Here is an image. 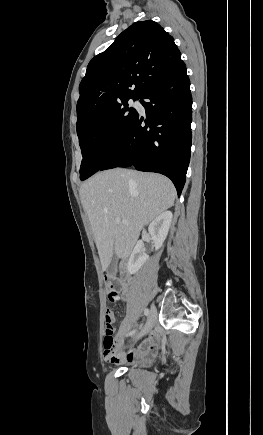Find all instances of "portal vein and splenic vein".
Returning <instances> with one entry per match:
<instances>
[{
    "label": "portal vein and splenic vein",
    "instance_id": "18ae733b",
    "mask_svg": "<svg viewBox=\"0 0 263 435\" xmlns=\"http://www.w3.org/2000/svg\"><path fill=\"white\" fill-rule=\"evenodd\" d=\"M115 222H116L117 224H119L120 222H122V223H124V224H128L127 221H125V220H121L120 218H116V219H115Z\"/></svg>",
    "mask_w": 263,
    "mask_h": 435
}]
</instances>
